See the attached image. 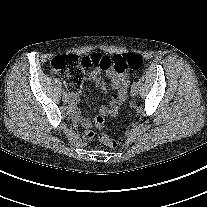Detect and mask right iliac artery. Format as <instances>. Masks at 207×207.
<instances>
[{"mask_svg": "<svg viewBox=\"0 0 207 207\" xmlns=\"http://www.w3.org/2000/svg\"><path fill=\"white\" fill-rule=\"evenodd\" d=\"M62 93H63V96H67L66 91L63 90Z\"/></svg>", "mask_w": 207, "mask_h": 207, "instance_id": "right-iliac-artery-1", "label": "right iliac artery"}]
</instances>
